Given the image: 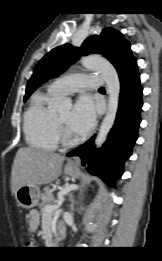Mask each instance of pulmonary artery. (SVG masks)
I'll use <instances>...</instances> for the list:
<instances>
[{
    "label": "pulmonary artery",
    "mask_w": 162,
    "mask_h": 261,
    "mask_svg": "<svg viewBox=\"0 0 162 261\" xmlns=\"http://www.w3.org/2000/svg\"><path fill=\"white\" fill-rule=\"evenodd\" d=\"M101 84V75L71 74L51 82L48 89L52 93L62 96L82 89H98Z\"/></svg>",
    "instance_id": "1"
}]
</instances>
